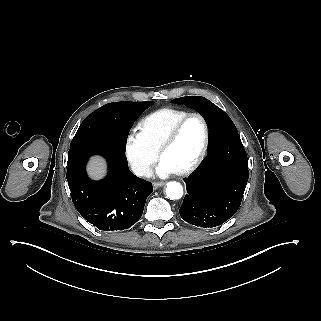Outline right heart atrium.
<instances>
[{"mask_svg":"<svg viewBox=\"0 0 321 321\" xmlns=\"http://www.w3.org/2000/svg\"><path fill=\"white\" fill-rule=\"evenodd\" d=\"M126 160L138 177H148L157 159V150L152 146L141 131L132 129L126 136L124 144Z\"/></svg>","mask_w":321,"mask_h":321,"instance_id":"right-heart-atrium-1","label":"right heart atrium"}]
</instances>
